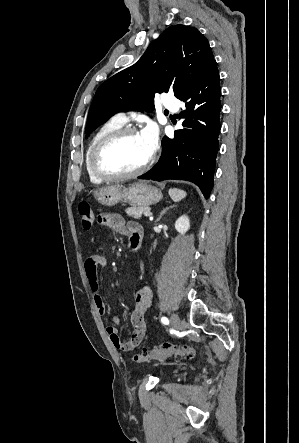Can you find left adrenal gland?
I'll list each match as a JSON object with an SVG mask.
<instances>
[{
    "mask_svg": "<svg viewBox=\"0 0 299 443\" xmlns=\"http://www.w3.org/2000/svg\"><path fill=\"white\" fill-rule=\"evenodd\" d=\"M174 207H176V205H172V206H169V207L164 208V209L161 211V213H160L159 217L157 218L156 222H158V221L162 218V216H163L168 210H170V209H172V208H174Z\"/></svg>",
    "mask_w": 299,
    "mask_h": 443,
    "instance_id": "left-adrenal-gland-1",
    "label": "left adrenal gland"
}]
</instances>
